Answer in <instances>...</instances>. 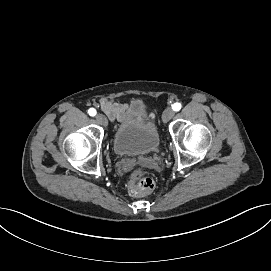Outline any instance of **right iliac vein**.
<instances>
[{
	"label": "right iliac vein",
	"instance_id": "1",
	"mask_svg": "<svg viewBox=\"0 0 271 271\" xmlns=\"http://www.w3.org/2000/svg\"><path fill=\"white\" fill-rule=\"evenodd\" d=\"M95 119L99 124L103 126H106L108 124L107 118L103 114H97L95 116Z\"/></svg>",
	"mask_w": 271,
	"mask_h": 271
}]
</instances>
